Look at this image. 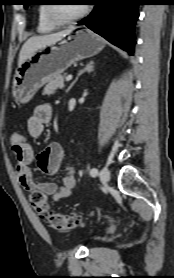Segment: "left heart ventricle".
I'll list each match as a JSON object with an SVG mask.
<instances>
[{
    "label": "left heart ventricle",
    "instance_id": "b2bd125f",
    "mask_svg": "<svg viewBox=\"0 0 174 278\" xmlns=\"http://www.w3.org/2000/svg\"><path fill=\"white\" fill-rule=\"evenodd\" d=\"M83 5H62L58 7V13L62 17H72L79 13Z\"/></svg>",
    "mask_w": 174,
    "mask_h": 278
}]
</instances>
